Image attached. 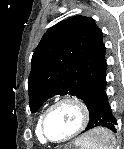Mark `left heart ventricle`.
<instances>
[{
	"label": "left heart ventricle",
	"instance_id": "left-heart-ventricle-1",
	"mask_svg": "<svg viewBox=\"0 0 124 149\" xmlns=\"http://www.w3.org/2000/svg\"><path fill=\"white\" fill-rule=\"evenodd\" d=\"M80 123L78 109L72 104L55 108L46 121L47 135L53 140H61L73 133Z\"/></svg>",
	"mask_w": 124,
	"mask_h": 149
}]
</instances>
